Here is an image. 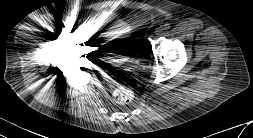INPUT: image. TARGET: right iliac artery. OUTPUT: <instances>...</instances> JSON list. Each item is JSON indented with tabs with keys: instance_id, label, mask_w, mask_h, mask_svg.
Here are the masks:
<instances>
[{
	"instance_id": "right-iliac-artery-1",
	"label": "right iliac artery",
	"mask_w": 253,
	"mask_h": 138,
	"mask_svg": "<svg viewBox=\"0 0 253 138\" xmlns=\"http://www.w3.org/2000/svg\"><path fill=\"white\" fill-rule=\"evenodd\" d=\"M75 26V24L73 22H69L67 24V27L70 29V30H73V27Z\"/></svg>"
}]
</instances>
